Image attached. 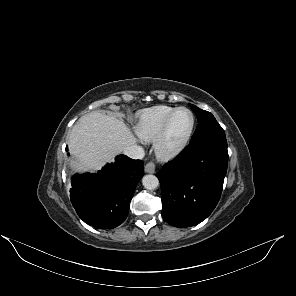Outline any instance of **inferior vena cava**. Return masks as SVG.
<instances>
[{"label": "inferior vena cava", "mask_w": 296, "mask_h": 296, "mask_svg": "<svg viewBox=\"0 0 296 296\" xmlns=\"http://www.w3.org/2000/svg\"><path fill=\"white\" fill-rule=\"evenodd\" d=\"M124 154L132 159H142L145 156L144 149L137 145H132L125 148Z\"/></svg>", "instance_id": "602c4592"}]
</instances>
